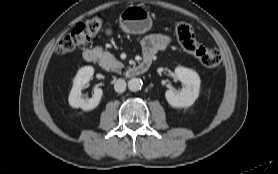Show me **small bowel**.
<instances>
[{"mask_svg": "<svg viewBox=\"0 0 278 174\" xmlns=\"http://www.w3.org/2000/svg\"><path fill=\"white\" fill-rule=\"evenodd\" d=\"M170 42V37L164 34H150L140 40L144 57H153L157 52L165 50Z\"/></svg>", "mask_w": 278, "mask_h": 174, "instance_id": "1", "label": "small bowel"}]
</instances>
